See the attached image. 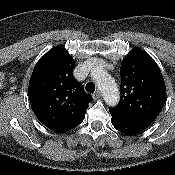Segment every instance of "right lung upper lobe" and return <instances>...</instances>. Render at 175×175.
I'll return each mask as SVG.
<instances>
[{"mask_svg": "<svg viewBox=\"0 0 175 175\" xmlns=\"http://www.w3.org/2000/svg\"><path fill=\"white\" fill-rule=\"evenodd\" d=\"M74 59L62 47L44 54L34 67L28 95L38 120L56 133H65L85 118L93 101L73 77Z\"/></svg>", "mask_w": 175, "mask_h": 175, "instance_id": "right-lung-upper-lobe-1", "label": "right lung upper lobe"}]
</instances>
